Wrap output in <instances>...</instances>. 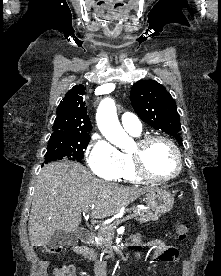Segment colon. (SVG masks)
Listing matches in <instances>:
<instances>
[{
	"label": "colon",
	"instance_id": "colon-1",
	"mask_svg": "<svg viewBox=\"0 0 221 276\" xmlns=\"http://www.w3.org/2000/svg\"><path fill=\"white\" fill-rule=\"evenodd\" d=\"M189 231L190 225L186 222L176 221L173 225L174 236L178 241H184L187 238ZM44 250L47 253L56 254L61 251V247L48 245L44 247ZM53 276H74V271L71 267L62 266L54 271Z\"/></svg>",
	"mask_w": 221,
	"mask_h": 276
}]
</instances>
